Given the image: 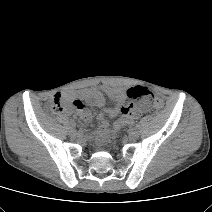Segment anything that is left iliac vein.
I'll use <instances>...</instances> for the list:
<instances>
[{
  "label": "left iliac vein",
  "instance_id": "left-iliac-vein-1",
  "mask_svg": "<svg viewBox=\"0 0 212 212\" xmlns=\"http://www.w3.org/2000/svg\"><path fill=\"white\" fill-rule=\"evenodd\" d=\"M128 137L130 140H137L139 138V132L136 129H131L129 131Z\"/></svg>",
  "mask_w": 212,
  "mask_h": 212
}]
</instances>
